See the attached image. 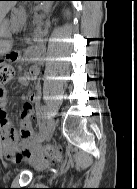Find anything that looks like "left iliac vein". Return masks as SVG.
Here are the masks:
<instances>
[{"label":"left iliac vein","mask_w":137,"mask_h":189,"mask_svg":"<svg viewBox=\"0 0 137 189\" xmlns=\"http://www.w3.org/2000/svg\"><path fill=\"white\" fill-rule=\"evenodd\" d=\"M55 127H56L55 120L53 118H50L47 123V128L41 138V141H40L41 143H46L51 140Z\"/></svg>","instance_id":"4c4485c4"}]
</instances>
